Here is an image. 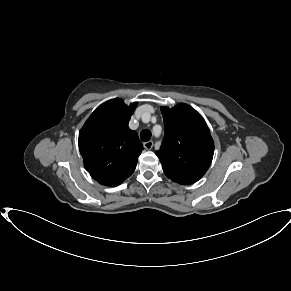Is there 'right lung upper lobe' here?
Wrapping results in <instances>:
<instances>
[{
    "label": "right lung upper lobe",
    "instance_id": "cb5924a9",
    "mask_svg": "<svg viewBox=\"0 0 291 291\" xmlns=\"http://www.w3.org/2000/svg\"><path fill=\"white\" fill-rule=\"evenodd\" d=\"M137 107L119 99L101 104L79 133V150L86 170L102 185L115 187L132 175L143 145L128 127Z\"/></svg>",
    "mask_w": 291,
    "mask_h": 291
}]
</instances>
